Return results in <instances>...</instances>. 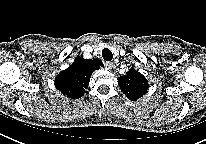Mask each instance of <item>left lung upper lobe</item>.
Instances as JSON below:
<instances>
[{
  "label": "left lung upper lobe",
  "instance_id": "left-lung-upper-lobe-1",
  "mask_svg": "<svg viewBox=\"0 0 206 144\" xmlns=\"http://www.w3.org/2000/svg\"><path fill=\"white\" fill-rule=\"evenodd\" d=\"M118 84L121 91L132 101L143 97L149 88L146 78L134 68H131L126 75L118 77Z\"/></svg>",
  "mask_w": 206,
  "mask_h": 144
}]
</instances>
